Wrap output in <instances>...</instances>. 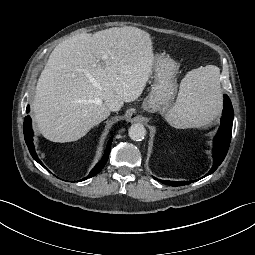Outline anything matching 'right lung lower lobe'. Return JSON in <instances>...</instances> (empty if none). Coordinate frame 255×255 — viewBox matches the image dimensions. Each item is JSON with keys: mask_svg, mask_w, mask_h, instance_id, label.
I'll return each instance as SVG.
<instances>
[{"mask_svg": "<svg viewBox=\"0 0 255 255\" xmlns=\"http://www.w3.org/2000/svg\"><path fill=\"white\" fill-rule=\"evenodd\" d=\"M30 111V107L27 106L26 108V112L28 113ZM24 137H25V142L28 146V149L30 151V154L32 155V157L39 163L41 164L44 168H46L43 163L40 161V159L38 158L35 149H34V145H33V130H32V125H31V118L30 116L25 117L24 119ZM112 139L113 136L110 138V140L107 143V148L105 150V153L102 157V159L95 165V167L93 168V170L90 172L88 177L83 178L80 181L86 180L87 178L93 177L96 174H98L104 167V165L106 164L108 157H109V153L111 150V143H112Z\"/></svg>", "mask_w": 255, "mask_h": 255, "instance_id": "1", "label": "right lung lower lobe"}]
</instances>
